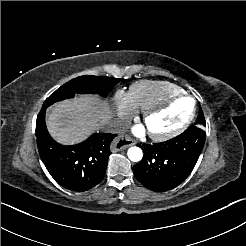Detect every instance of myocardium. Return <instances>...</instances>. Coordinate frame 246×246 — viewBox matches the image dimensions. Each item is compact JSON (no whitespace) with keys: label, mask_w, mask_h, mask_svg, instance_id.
<instances>
[{"label":"myocardium","mask_w":246,"mask_h":246,"mask_svg":"<svg viewBox=\"0 0 246 246\" xmlns=\"http://www.w3.org/2000/svg\"><path fill=\"white\" fill-rule=\"evenodd\" d=\"M182 99H186L192 103H194V100L191 96L185 94V95H181L177 98H173L170 99L158 106H155L153 108L148 109L147 111H145L144 116H143V122L145 124V126H147V124L149 123V120L151 117L162 113L166 110H168L174 103H176L179 100ZM195 115V108H193L192 112L183 120H181L177 125H175L173 128L169 129V130H165V131H150L147 127L148 133L150 135V137L154 140L157 141H161V140H166L169 139L171 137H174L176 135H178L179 133H181L182 131H184L192 122L193 118Z\"/></svg>","instance_id":"1"}]
</instances>
